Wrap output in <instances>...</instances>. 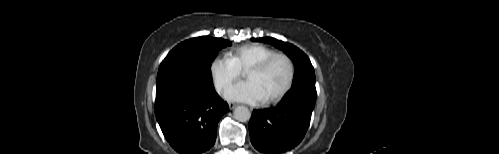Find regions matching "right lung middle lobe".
Returning a JSON list of instances; mask_svg holds the SVG:
<instances>
[{
	"label": "right lung middle lobe",
	"instance_id": "right-lung-middle-lobe-1",
	"mask_svg": "<svg viewBox=\"0 0 499 154\" xmlns=\"http://www.w3.org/2000/svg\"><path fill=\"white\" fill-rule=\"evenodd\" d=\"M230 45L228 40L209 36L192 38L178 44L159 67L157 90L177 84L213 87L211 63L220 49Z\"/></svg>",
	"mask_w": 499,
	"mask_h": 154
}]
</instances>
